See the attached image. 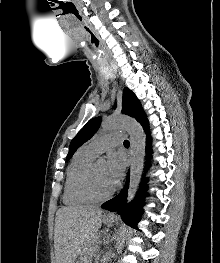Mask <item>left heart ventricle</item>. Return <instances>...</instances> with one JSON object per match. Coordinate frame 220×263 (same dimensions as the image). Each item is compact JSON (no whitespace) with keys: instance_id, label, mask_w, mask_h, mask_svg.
Listing matches in <instances>:
<instances>
[{"instance_id":"left-heart-ventricle-1","label":"left heart ventricle","mask_w":220,"mask_h":263,"mask_svg":"<svg viewBox=\"0 0 220 263\" xmlns=\"http://www.w3.org/2000/svg\"><path fill=\"white\" fill-rule=\"evenodd\" d=\"M94 188L99 194L107 193L113 188V184L107 177L105 172V164L103 162H96L93 173Z\"/></svg>"}]
</instances>
